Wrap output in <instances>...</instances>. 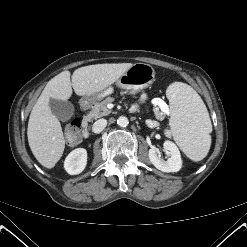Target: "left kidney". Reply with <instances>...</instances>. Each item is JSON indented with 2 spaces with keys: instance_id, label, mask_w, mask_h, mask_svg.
I'll list each match as a JSON object with an SVG mask.
<instances>
[{
  "instance_id": "left-kidney-1",
  "label": "left kidney",
  "mask_w": 247,
  "mask_h": 247,
  "mask_svg": "<svg viewBox=\"0 0 247 247\" xmlns=\"http://www.w3.org/2000/svg\"><path fill=\"white\" fill-rule=\"evenodd\" d=\"M164 151L170 156L167 161L161 159L160 155H157V149L154 147L149 150V159L151 163L163 172H178L182 167L181 155L178 147L172 141H165Z\"/></svg>"
}]
</instances>
